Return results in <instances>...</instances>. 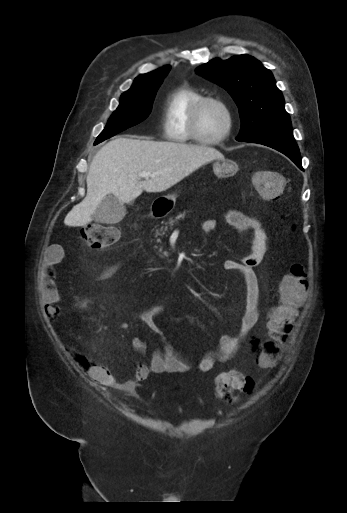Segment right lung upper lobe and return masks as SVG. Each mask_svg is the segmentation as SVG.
Returning <instances> with one entry per match:
<instances>
[{"mask_svg":"<svg viewBox=\"0 0 347 513\" xmlns=\"http://www.w3.org/2000/svg\"><path fill=\"white\" fill-rule=\"evenodd\" d=\"M169 70H170V66H164L158 70L139 75L138 77H136L132 87L128 91L134 90V89L138 88L139 86H142V85H145V84H148L151 82L163 80L166 77V75L168 74Z\"/></svg>","mask_w":347,"mask_h":513,"instance_id":"obj_1","label":"right lung upper lobe"}]
</instances>
